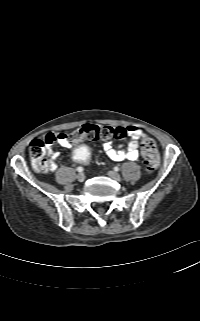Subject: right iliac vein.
<instances>
[{
  "mask_svg": "<svg viewBox=\"0 0 200 321\" xmlns=\"http://www.w3.org/2000/svg\"><path fill=\"white\" fill-rule=\"evenodd\" d=\"M77 180H78L79 182H83V181L85 180V175H84L83 173H79V174L77 175Z\"/></svg>",
  "mask_w": 200,
  "mask_h": 321,
  "instance_id": "1",
  "label": "right iliac vein"
}]
</instances>
